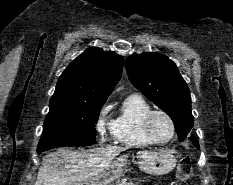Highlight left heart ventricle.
I'll return each mask as SVG.
<instances>
[{
  "label": "left heart ventricle",
  "mask_w": 233,
  "mask_h": 185,
  "mask_svg": "<svg viewBox=\"0 0 233 185\" xmlns=\"http://www.w3.org/2000/svg\"><path fill=\"white\" fill-rule=\"evenodd\" d=\"M152 129L155 136L161 140H166L171 136L172 129L169 121L162 115H156L152 121Z\"/></svg>",
  "instance_id": "left-heart-ventricle-1"
}]
</instances>
